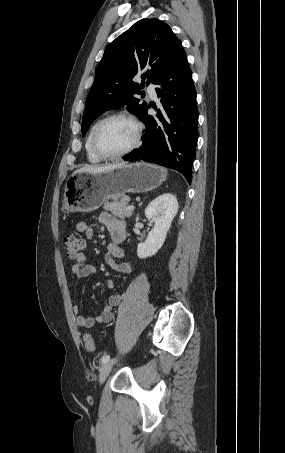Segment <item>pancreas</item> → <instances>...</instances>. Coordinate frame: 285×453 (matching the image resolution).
Masks as SVG:
<instances>
[{
  "mask_svg": "<svg viewBox=\"0 0 285 453\" xmlns=\"http://www.w3.org/2000/svg\"><path fill=\"white\" fill-rule=\"evenodd\" d=\"M128 202L129 197L124 196L121 200L113 202L106 201L103 208L121 219L130 218L133 214V210L128 209Z\"/></svg>",
  "mask_w": 285,
  "mask_h": 453,
  "instance_id": "obj_1",
  "label": "pancreas"
}]
</instances>
